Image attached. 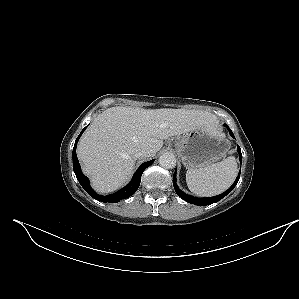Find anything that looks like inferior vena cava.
Returning <instances> with one entry per match:
<instances>
[{"mask_svg": "<svg viewBox=\"0 0 299 299\" xmlns=\"http://www.w3.org/2000/svg\"><path fill=\"white\" fill-rule=\"evenodd\" d=\"M150 155H151L150 150H148V149H141L140 151H138L135 154V157L136 158H139V157H149Z\"/></svg>", "mask_w": 299, "mask_h": 299, "instance_id": "602c4592", "label": "inferior vena cava"}]
</instances>
